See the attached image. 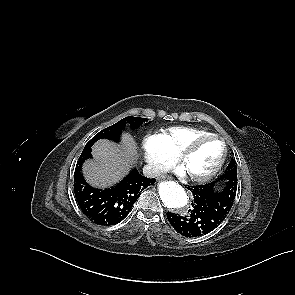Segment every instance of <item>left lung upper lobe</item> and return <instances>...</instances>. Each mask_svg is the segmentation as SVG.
Masks as SVG:
<instances>
[{
  "instance_id": "obj_1",
  "label": "left lung upper lobe",
  "mask_w": 295,
  "mask_h": 295,
  "mask_svg": "<svg viewBox=\"0 0 295 295\" xmlns=\"http://www.w3.org/2000/svg\"><path fill=\"white\" fill-rule=\"evenodd\" d=\"M225 173L237 174V166H236V161L234 159H232L231 162L229 163Z\"/></svg>"
}]
</instances>
